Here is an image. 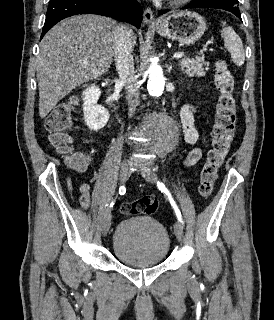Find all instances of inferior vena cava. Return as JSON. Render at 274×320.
I'll return each mask as SVG.
<instances>
[{"label":"inferior vena cava","instance_id":"inferior-vena-cava-1","mask_svg":"<svg viewBox=\"0 0 274 320\" xmlns=\"http://www.w3.org/2000/svg\"><path fill=\"white\" fill-rule=\"evenodd\" d=\"M113 34L116 70L120 80L124 82L127 94L128 116L132 118L137 106H139L140 96L133 62V46L136 38L133 30H130L127 26H122V24L113 28Z\"/></svg>","mask_w":274,"mask_h":320}]
</instances>
